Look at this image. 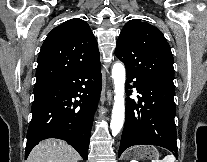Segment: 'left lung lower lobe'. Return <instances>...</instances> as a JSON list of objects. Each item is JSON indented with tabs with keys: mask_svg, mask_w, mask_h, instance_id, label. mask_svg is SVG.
I'll list each match as a JSON object with an SVG mask.
<instances>
[{
	"mask_svg": "<svg viewBox=\"0 0 207 162\" xmlns=\"http://www.w3.org/2000/svg\"><path fill=\"white\" fill-rule=\"evenodd\" d=\"M135 79L138 102L127 99L126 120L121 137L119 156L125 149L138 144H152L171 151L178 159L174 85L153 82L127 71V82ZM131 89L132 86H127ZM132 92V91H130ZM126 91L127 95H130Z\"/></svg>",
	"mask_w": 207,
	"mask_h": 162,
	"instance_id": "obj_1",
	"label": "left lung lower lobe"
}]
</instances>
